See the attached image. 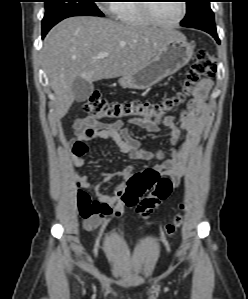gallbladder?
Here are the masks:
<instances>
[{
  "label": "gallbladder",
  "instance_id": "obj_1",
  "mask_svg": "<svg viewBox=\"0 0 248 299\" xmlns=\"http://www.w3.org/2000/svg\"><path fill=\"white\" fill-rule=\"evenodd\" d=\"M94 85L80 77L76 78L72 85V91L77 102H84L93 92Z\"/></svg>",
  "mask_w": 248,
  "mask_h": 299
}]
</instances>
